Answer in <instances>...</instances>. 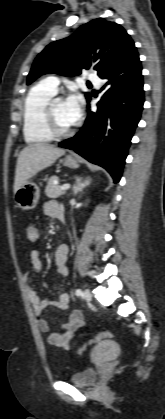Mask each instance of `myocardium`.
Returning a JSON list of instances; mask_svg holds the SVG:
<instances>
[{"label": "myocardium", "instance_id": "myocardium-1", "mask_svg": "<svg viewBox=\"0 0 165 419\" xmlns=\"http://www.w3.org/2000/svg\"><path fill=\"white\" fill-rule=\"evenodd\" d=\"M59 99L57 98H51L44 109V119L46 123V127L50 134L55 138H64L72 135L74 131L76 130V125L74 124L72 127L68 129H61L58 126V123L55 118L54 114V103Z\"/></svg>", "mask_w": 165, "mask_h": 419}]
</instances>
